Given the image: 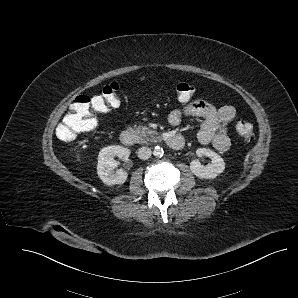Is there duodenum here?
Wrapping results in <instances>:
<instances>
[{"label":"duodenum","mask_w":298,"mask_h":298,"mask_svg":"<svg viewBox=\"0 0 298 298\" xmlns=\"http://www.w3.org/2000/svg\"><path fill=\"white\" fill-rule=\"evenodd\" d=\"M120 141L127 146H132L136 143L137 138L133 130L125 129L119 135ZM167 145L174 149L180 150L184 146V138L177 133H170L165 137Z\"/></svg>","instance_id":"1"}]
</instances>
